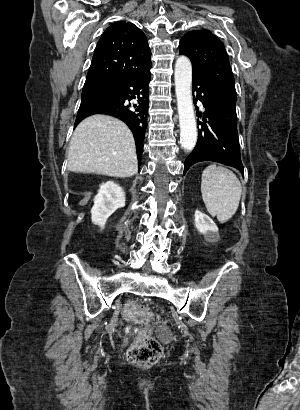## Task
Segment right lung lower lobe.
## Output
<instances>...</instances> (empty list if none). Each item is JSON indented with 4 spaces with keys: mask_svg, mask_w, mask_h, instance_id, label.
Wrapping results in <instances>:
<instances>
[{
    "mask_svg": "<svg viewBox=\"0 0 300 410\" xmlns=\"http://www.w3.org/2000/svg\"><path fill=\"white\" fill-rule=\"evenodd\" d=\"M131 73L97 89L83 92L75 127L87 116L107 114L125 122L135 138L137 157L141 163L143 139L147 126L149 105L148 84L151 73ZM135 99L137 102L130 103Z\"/></svg>",
    "mask_w": 300,
    "mask_h": 410,
    "instance_id": "obj_1",
    "label": "right lung lower lobe"
}]
</instances>
